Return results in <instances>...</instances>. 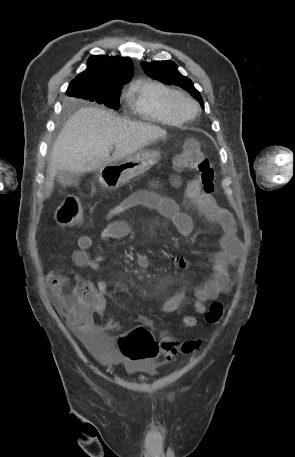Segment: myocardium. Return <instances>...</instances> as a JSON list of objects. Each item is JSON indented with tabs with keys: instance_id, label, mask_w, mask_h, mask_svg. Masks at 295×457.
<instances>
[{
	"instance_id": "myocardium-1",
	"label": "myocardium",
	"mask_w": 295,
	"mask_h": 457,
	"mask_svg": "<svg viewBox=\"0 0 295 457\" xmlns=\"http://www.w3.org/2000/svg\"><path fill=\"white\" fill-rule=\"evenodd\" d=\"M182 102L189 103L192 106V110L190 112H184L180 107ZM169 106L172 112L183 121L194 118L199 111L197 101L192 96L182 91H174L170 95Z\"/></svg>"
}]
</instances>
